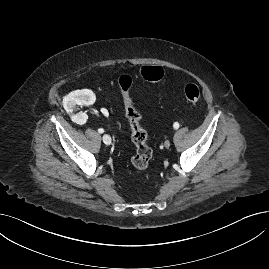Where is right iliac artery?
<instances>
[{
	"instance_id": "82829eb1",
	"label": "right iliac artery",
	"mask_w": 269,
	"mask_h": 269,
	"mask_svg": "<svg viewBox=\"0 0 269 269\" xmlns=\"http://www.w3.org/2000/svg\"><path fill=\"white\" fill-rule=\"evenodd\" d=\"M98 132L102 134L104 132V129L100 128L98 129Z\"/></svg>"
}]
</instances>
